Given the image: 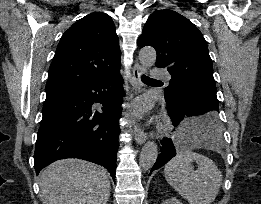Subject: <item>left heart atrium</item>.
I'll return each instance as SVG.
<instances>
[{
  "label": "left heart atrium",
  "instance_id": "obj_1",
  "mask_svg": "<svg viewBox=\"0 0 261 204\" xmlns=\"http://www.w3.org/2000/svg\"><path fill=\"white\" fill-rule=\"evenodd\" d=\"M145 111V105L142 101H138L133 105V114L135 116H141Z\"/></svg>",
  "mask_w": 261,
  "mask_h": 204
}]
</instances>
